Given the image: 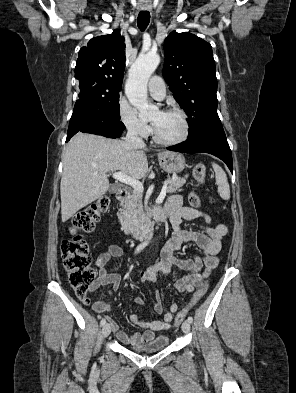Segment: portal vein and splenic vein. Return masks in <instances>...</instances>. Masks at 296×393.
<instances>
[{"label":"portal vein and splenic vein","mask_w":296,"mask_h":393,"mask_svg":"<svg viewBox=\"0 0 296 393\" xmlns=\"http://www.w3.org/2000/svg\"><path fill=\"white\" fill-rule=\"evenodd\" d=\"M112 177L122 183L130 185L131 187H133L135 189V191H138L140 193H143V191H144L143 184L140 181H138L137 179H134L128 175H125L122 172H115L112 174ZM167 184H168V181H165L162 191H161L159 197L157 198L158 201H162L164 199V197L166 196Z\"/></svg>","instance_id":"obj_1"}]
</instances>
